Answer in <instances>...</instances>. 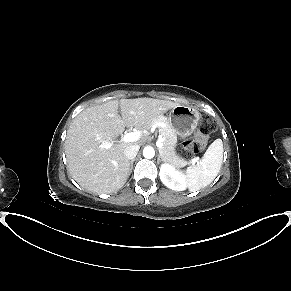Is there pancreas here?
Segmentation results:
<instances>
[{
	"label": "pancreas",
	"mask_w": 291,
	"mask_h": 291,
	"mask_svg": "<svg viewBox=\"0 0 291 291\" xmlns=\"http://www.w3.org/2000/svg\"><path fill=\"white\" fill-rule=\"evenodd\" d=\"M160 123H164L166 125L165 128H158L159 134L165 138L163 141V147L159 148V154L161 158L164 160V162H168L178 168L186 166L187 162L176 154L175 146L177 143V136L168 122L166 120L157 118L153 119L149 125H158Z\"/></svg>",
	"instance_id": "obj_1"
}]
</instances>
